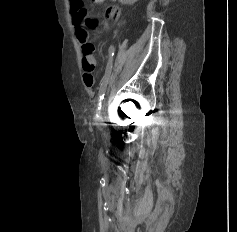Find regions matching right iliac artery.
Segmentation results:
<instances>
[{
    "instance_id": "82829eb1",
    "label": "right iliac artery",
    "mask_w": 237,
    "mask_h": 232,
    "mask_svg": "<svg viewBox=\"0 0 237 232\" xmlns=\"http://www.w3.org/2000/svg\"><path fill=\"white\" fill-rule=\"evenodd\" d=\"M115 53V47L113 45H111L109 47L108 50V63L106 66V71H105V75L103 77L102 83L100 85L99 88V94H98V104H97V114H96V118H99V114L101 112V107H102V101L104 99V95H105V91H106V86L109 80V76L111 74V70H112V66H113V56Z\"/></svg>"
}]
</instances>
